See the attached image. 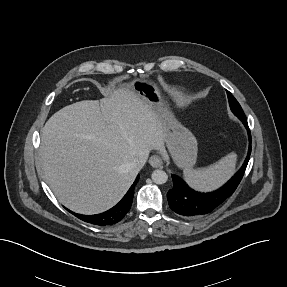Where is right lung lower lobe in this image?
Instances as JSON below:
<instances>
[{
    "label": "right lung lower lobe",
    "instance_id": "98d812e1",
    "mask_svg": "<svg viewBox=\"0 0 287 287\" xmlns=\"http://www.w3.org/2000/svg\"><path fill=\"white\" fill-rule=\"evenodd\" d=\"M139 180V175L137 176L135 182L130 187L128 192L125 194V196L122 198V200L113 208L110 210L97 214V215H81L77 213H73L76 217H78L80 220L85 221L87 223H91L94 225L99 226H106V225H112L124 218L126 213L130 210L132 205V199L134 195V189ZM68 210V209H67ZM69 212H71L69 210Z\"/></svg>",
    "mask_w": 287,
    "mask_h": 287
}]
</instances>
